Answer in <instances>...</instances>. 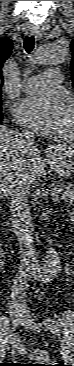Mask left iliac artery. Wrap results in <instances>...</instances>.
Here are the masks:
<instances>
[{
  "instance_id": "left-iliac-artery-1",
  "label": "left iliac artery",
  "mask_w": 74,
  "mask_h": 366,
  "mask_svg": "<svg viewBox=\"0 0 74 366\" xmlns=\"http://www.w3.org/2000/svg\"><path fill=\"white\" fill-rule=\"evenodd\" d=\"M43 324L45 326H47L53 333H56L59 331V324L54 319L47 318L43 321Z\"/></svg>"
}]
</instances>
